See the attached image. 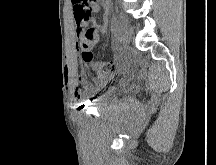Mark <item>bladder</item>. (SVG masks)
I'll list each match as a JSON object with an SVG mask.
<instances>
[{
	"instance_id": "bladder-1",
	"label": "bladder",
	"mask_w": 216,
	"mask_h": 165,
	"mask_svg": "<svg viewBox=\"0 0 216 165\" xmlns=\"http://www.w3.org/2000/svg\"><path fill=\"white\" fill-rule=\"evenodd\" d=\"M109 86H116L115 76H104V80L98 82L101 91L93 102L97 108L106 107L115 96L116 90Z\"/></svg>"
}]
</instances>
